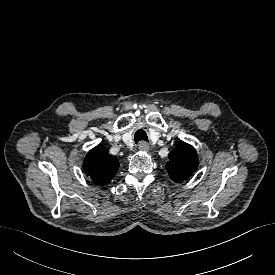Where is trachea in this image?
<instances>
[{"mask_svg": "<svg viewBox=\"0 0 275 275\" xmlns=\"http://www.w3.org/2000/svg\"><path fill=\"white\" fill-rule=\"evenodd\" d=\"M134 141L137 144L139 141H147L148 142V136L146 132L143 129H139L134 134Z\"/></svg>", "mask_w": 275, "mask_h": 275, "instance_id": "3493384b", "label": "trachea"}]
</instances>
